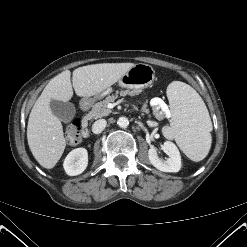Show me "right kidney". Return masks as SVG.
Segmentation results:
<instances>
[{
    "mask_svg": "<svg viewBox=\"0 0 247 247\" xmlns=\"http://www.w3.org/2000/svg\"><path fill=\"white\" fill-rule=\"evenodd\" d=\"M88 165V152L85 148L72 150L65 158L63 167L66 174L75 176L81 174Z\"/></svg>",
    "mask_w": 247,
    "mask_h": 247,
    "instance_id": "1",
    "label": "right kidney"
}]
</instances>
